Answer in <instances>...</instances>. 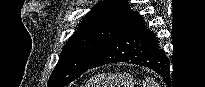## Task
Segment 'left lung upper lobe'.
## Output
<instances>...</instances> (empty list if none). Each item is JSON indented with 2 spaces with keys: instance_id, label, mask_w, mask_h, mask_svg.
Masks as SVG:
<instances>
[{
  "instance_id": "left-lung-upper-lobe-1",
  "label": "left lung upper lobe",
  "mask_w": 205,
  "mask_h": 87,
  "mask_svg": "<svg viewBox=\"0 0 205 87\" xmlns=\"http://www.w3.org/2000/svg\"><path fill=\"white\" fill-rule=\"evenodd\" d=\"M129 12L127 1L99 2L67 41L48 87H63L87 71Z\"/></svg>"
}]
</instances>
